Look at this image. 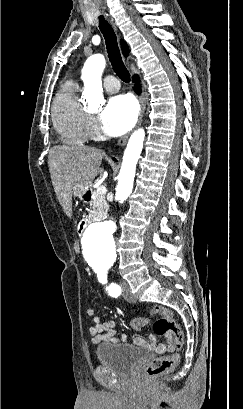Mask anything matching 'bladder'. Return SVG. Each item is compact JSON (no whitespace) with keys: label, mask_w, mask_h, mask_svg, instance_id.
I'll list each match as a JSON object with an SVG mask.
<instances>
[{"label":"bladder","mask_w":243,"mask_h":409,"mask_svg":"<svg viewBox=\"0 0 243 409\" xmlns=\"http://www.w3.org/2000/svg\"><path fill=\"white\" fill-rule=\"evenodd\" d=\"M150 355L147 349L121 343L103 344L96 349L98 362L117 373H129Z\"/></svg>","instance_id":"bladder-1"}]
</instances>
